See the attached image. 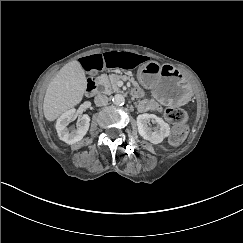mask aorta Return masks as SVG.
<instances>
[{
  "label": "aorta",
  "mask_w": 243,
  "mask_h": 243,
  "mask_svg": "<svg viewBox=\"0 0 243 243\" xmlns=\"http://www.w3.org/2000/svg\"><path fill=\"white\" fill-rule=\"evenodd\" d=\"M112 102L115 105H123L125 103V97L122 94H115Z\"/></svg>",
  "instance_id": "obj_1"
}]
</instances>
